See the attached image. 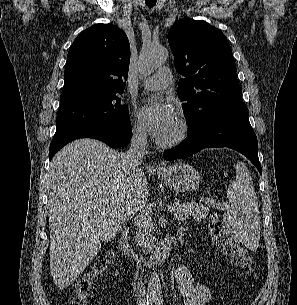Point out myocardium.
Masks as SVG:
<instances>
[{
	"instance_id": "1",
	"label": "myocardium",
	"mask_w": 297,
	"mask_h": 305,
	"mask_svg": "<svg viewBox=\"0 0 297 305\" xmlns=\"http://www.w3.org/2000/svg\"><path fill=\"white\" fill-rule=\"evenodd\" d=\"M176 122L177 130L175 134L169 139H158L157 143L159 146L163 148H172L179 145L186 139L189 132V124L187 120L183 116L179 115Z\"/></svg>"
}]
</instances>
